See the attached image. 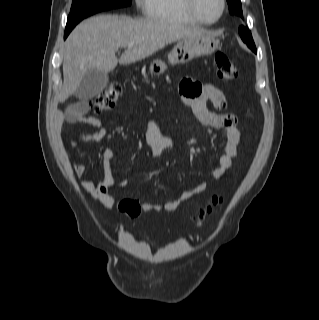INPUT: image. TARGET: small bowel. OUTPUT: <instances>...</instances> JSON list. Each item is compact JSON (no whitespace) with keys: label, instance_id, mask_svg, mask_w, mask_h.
I'll list each match as a JSON object with an SVG mask.
<instances>
[{"label":"small bowel","instance_id":"small-bowel-1","mask_svg":"<svg viewBox=\"0 0 319 320\" xmlns=\"http://www.w3.org/2000/svg\"><path fill=\"white\" fill-rule=\"evenodd\" d=\"M179 100L182 105L190 107L198 120L211 128L223 130L224 152L219 156L218 166L213 169L211 177L213 180H220L225 173L232 167L233 160L237 156L241 139V133L237 127V116L226 112L227 102L223 92L212 84H203L191 78H183L180 83ZM211 103L215 111L208 108ZM84 123L92 126L93 132H79V139L86 141H98L108 135L106 127L98 118L88 115V106L86 103H77L66 113L58 118V127L66 123ZM145 140L153 156L161 157L170 154L174 149V141L164 134L158 127L156 122L153 123L151 129L146 133ZM72 147L77 145L75 139L70 141ZM115 157L113 147H106L101 155V166L103 177L102 180L96 182L87 178L82 180L81 186L83 190L92 198H97L107 208H112L116 200L110 194L115 188H122L126 183H118L115 180L111 167V162ZM86 166L83 162H79L74 166V172L77 177L85 174ZM207 183L203 182L194 188L186 190L178 200H170L167 202H143L142 209L145 212L173 211L178 208L182 201H186L199 193L205 191Z\"/></svg>","mask_w":319,"mask_h":320}]
</instances>
